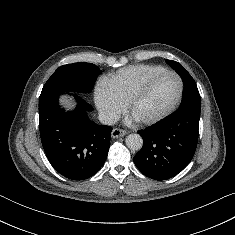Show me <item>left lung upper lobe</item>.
Wrapping results in <instances>:
<instances>
[{"label":"left lung upper lobe","mask_w":235,"mask_h":235,"mask_svg":"<svg viewBox=\"0 0 235 235\" xmlns=\"http://www.w3.org/2000/svg\"><path fill=\"white\" fill-rule=\"evenodd\" d=\"M166 62L180 75L183 81L184 90L182 95V102L178 110L187 108L200 110V94L194 79L180 63L173 60H166Z\"/></svg>","instance_id":"obj_1"}]
</instances>
